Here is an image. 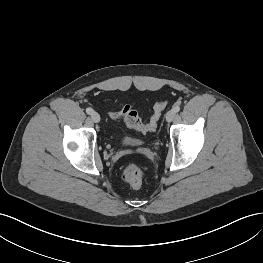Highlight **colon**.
<instances>
[{"instance_id": "colon-1", "label": "colon", "mask_w": 263, "mask_h": 263, "mask_svg": "<svg viewBox=\"0 0 263 263\" xmlns=\"http://www.w3.org/2000/svg\"><path fill=\"white\" fill-rule=\"evenodd\" d=\"M167 105V100H160L154 104L153 113L149 122H144L138 113L129 104H124L118 111L126 122V124L141 132H152L157 126V122L160 119L163 110ZM143 169L135 163H128L122 171V180L125 184L132 188H138L142 185L144 180Z\"/></svg>"}]
</instances>
